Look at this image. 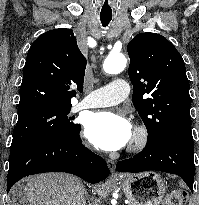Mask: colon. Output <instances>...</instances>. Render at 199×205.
<instances>
[{
	"instance_id": "colon-1",
	"label": "colon",
	"mask_w": 199,
	"mask_h": 205,
	"mask_svg": "<svg viewBox=\"0 0 199 205\" xmlns=\"http://www.w3.org/2000/svg\"><path fill=\"white\" fill-rule=\"evenodd\" d=\"M185 198V193L182 189L176 188L166 196L162 205H181Z\"/></svg>"
}]
</instances>
